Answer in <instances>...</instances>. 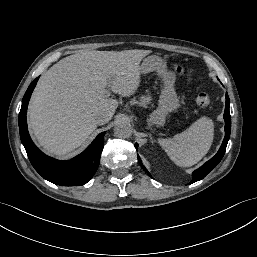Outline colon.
Returning <instances> with one entry per match:
<instances>
[{
    "mask_svg": "<svg viewBox=\"0 0 257 257\" xmlns=\"http://www.w3.org/2000/svg\"><path fill=\"white\" fill-rule=\"evenodd\" d=\"M197 108L199 110H206L210 105V97L207 92H200L195 99Z\"/></svg>",
    "mask_w": 257,
    "mask_h": 257,
    "instance_id": "colon-1",
    "label": "colon"
}]
</instances>
